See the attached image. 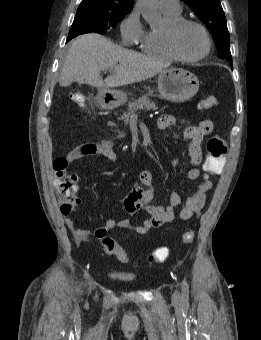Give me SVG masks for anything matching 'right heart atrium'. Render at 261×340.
Instances as JSON below:
<instances>
[{
  "label": "right heart atrium",
  "instance_id": "obj_1",
  "mask_svg": "<svg viewBox=\"0 0 261 340\" xmlns=\"http://www.w3.org/2000/svg\"><path fill=\"white\" fill-rule=\"evenodd\" d=\"M120 31L125 42H133L140 38L144 32L137 8H133L120 24Z\"/></svg>",
  "mask_w": 261,
  "mask_h": 340
}]
</instances>
